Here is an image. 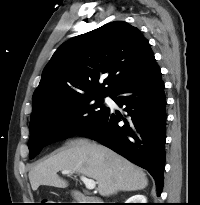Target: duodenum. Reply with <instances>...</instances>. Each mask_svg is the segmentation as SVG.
Segmentation results:
<instances>
[{
	"label": "duodenum",
	"instance_id": "duodenum-1",
	"mask_svg": "<svg viewBox=\"0 0 200 205\" xmlns=\"http://www.w3.org/2000/svg\"><path fill=\"white\" fill-rule=\"evenodd\" d=\"M72 195H73L75 200H77L78 202H81V203H95V202L99 201V199H97L95 197L86 196L77 190L73 191Z\"/></svg>",
	"mask_w": 200,
	"mask_h": 205
}]
</instances>
